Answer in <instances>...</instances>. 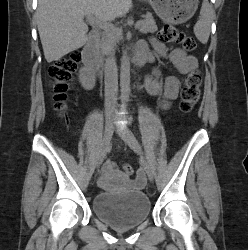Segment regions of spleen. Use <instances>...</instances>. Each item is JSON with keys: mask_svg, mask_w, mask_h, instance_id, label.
Instances as JSON below:
<instances>
[{"mask_svg": "<svg viewBox=\"0 0 248 250\" xmlns=\"http://www.w3.org/2000/svg\"><path fill=\"white\" fill-rule=\"evenodd\" d=\"M213 13V8L208 0H204L200 10V18L194 26V34L203 44H206L209 39Z\"/></svg>", "mask_w": 248, "mask_h": 250, "instance_id": "1", "label": "spleen"}]
</instances>
